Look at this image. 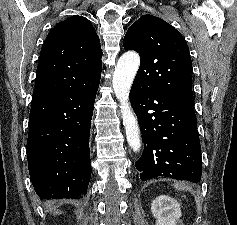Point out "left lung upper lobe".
<instances>
[{"label":"left lung upper lobe","mask_w":237,"mask_h":225,"mask_svg":"<svg viewBox=\"0 0 237 225\" xmlns=\"http://www.w3.org/2000/svg\"><path fill=\"white\" fill-rule=\"evenodd\" d=\"M124 48L141 57L133 84L148 92L193 97L189 48L170 24L153 15L141 16L129 27Z\"/></svg>","instance_id":"obj_1"}]
</instances>
